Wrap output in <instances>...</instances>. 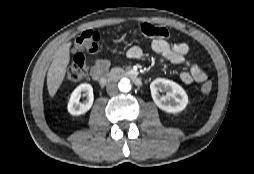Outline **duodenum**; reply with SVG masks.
Instances as JSON below:
<instances>
[{"mask_svg":"<svg viewBox=\"0 0 254 174\" xmlns=\"http://www.w3.org/2000/svg\"><path fill=\"white\" fill-rule=\"evenodd\" d=\"M121 77L130 79L137 86H141L142 85L141 79L136 74H134L131 71H126V70L125 71L115 70V71H113L108 76L102 74V75L98 76L97 79H98V82H99L100 85L105 86L106 84H108V82L111 79H113V78H121Z\"/></svg>","mask_w":254,"mask_h":174,"instance_id":"obj_1","label":"duodenum"}]
</instances>
